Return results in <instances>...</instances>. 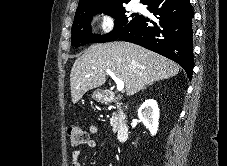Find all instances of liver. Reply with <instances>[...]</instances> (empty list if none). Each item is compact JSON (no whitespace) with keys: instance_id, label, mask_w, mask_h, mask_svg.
I'll use <instances>...</instances> for the list:
<instances>
[{"instance_id":"obj_1","label":"liver","mask_w":227,"mask_h":166,"mask_svg":"<svg viewBox=\"0 0 227 166\" xmlns=\"http://www.w3.org/2000/svg\"><path fill=\"white\" fill-rule=\"evenodd\" d=\"M124 82L128 96L146 85L168 79L179 73L180 66L155 52L138 45L114 41L90 46L78 57L71 69L72 103L106 82V70Z\"/></svg>"}]
</instances>
